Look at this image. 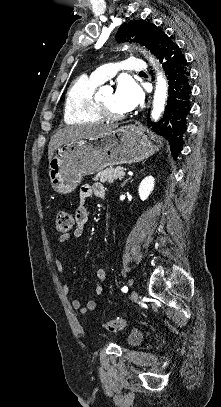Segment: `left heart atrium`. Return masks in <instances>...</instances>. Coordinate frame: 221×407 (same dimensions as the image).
Wrapping results in <instances>:
<instances>
[{
	"mask_svg": "<svg viewBox=\"0 0 221 407\" xmlns=\"http://www.w3.org/2000/svg\"><path fill=\"white\" fill-rule=\"evenodd\" d=\"M115 95L119 105L126 111L136 108L144 97L141 87L129 76L118 79Z\"/></svg>",
	"mask_w": 221,
	"mask_h": 407,
	"instance_id": "obj_1",
	"label": "left heart atrium"
}]
</instances>
